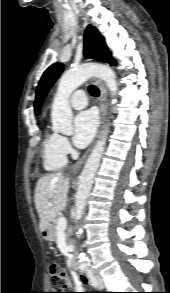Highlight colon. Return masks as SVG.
I'll return each instance as SVG.
<instances>
[{"instance_id":"1","label":"colon","mask_w":170,"mask_h":293,"mask_svg":"<svg viewBox=\"0 0 170 293\" xmlns=\"http://www.w3.org/2000/svg\"><path fill=\"white\" fill-rule=\"evenodd\" d=\"M49 281L53 292L50 293H63L60 292L67 288L69 285V275L65 268L56 262H52L49 267Z\"/></svg>"}]
</instances>
